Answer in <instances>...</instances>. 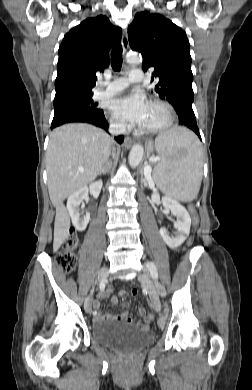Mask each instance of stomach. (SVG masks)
Returning <instances> with one entry per match:
<instances>
[{"label": "stomach", "instance_id": "obj_1", "mask_svg": "<svg viewBox=\"0 0 252 390\" xmlns=\"http://www.w3.org/2000/svg\"><path fill=\"white\" fill-rule=\"evenodd\" d=\"M152 150H153L152 144H149L148 145V152H152Z\"/></svg>", "mask_w": 252, "mask_h": 390}]
</instances>
